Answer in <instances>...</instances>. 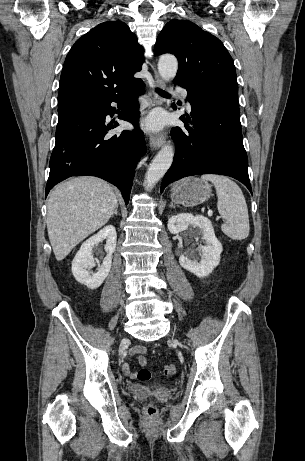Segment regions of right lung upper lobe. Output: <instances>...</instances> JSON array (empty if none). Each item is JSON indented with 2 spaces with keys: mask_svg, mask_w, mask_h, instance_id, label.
Returning <instances> with one entry per match:
<instances>
[{
  "mask_svg": "<svg viewBox=\"0 0 305 461\" xmlns=\"http://www.w3.org/2000/svg\"><path fill=\"white\" fill-rule=\"evenodd\" d=\"M143 48L121 21L101 23L78 39L64 62L58 107L109 99L142 83Z\"/></svg>",
  "mask_w": 305,
  "mask_h": 461,
  "instance_id": "obj_1",
  "label": "right lung upper lobe"
}]
</instances>
